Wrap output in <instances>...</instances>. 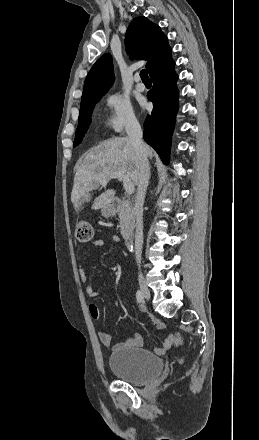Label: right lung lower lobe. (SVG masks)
I'll list each match as a JSON object with an SVG mask.
<instances>
[{
	"label": "right lung lower lobe",
	"instance_id": "98d812e1",
	"mask_svg": "<svg viewBox=\"0 0 259 440\" xmlns=\"http://www.w3.org/2000/svg\"><path fill=\"white\" fill-rule=\"evenodd\" d=\"M174 66L170 56L150 74L153 87L147 97L153 102V110L144 122V140L156 150L165 164L169 162L171 136L178 110V76Z\"/></svg>",
	"mask_w": 259,
	"mask_h": 440
}]
</instances>
